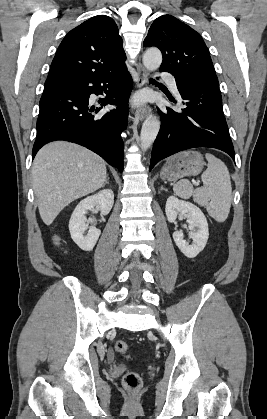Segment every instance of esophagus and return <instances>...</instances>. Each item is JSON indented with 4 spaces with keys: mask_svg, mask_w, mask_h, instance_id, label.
<instances>
[{
    "mask_svg": "<svg viewBox=\"0 0 267 419\" xmlns=\"http://www.w3.org/2000/svg\"><path fill=\"white\" fill-rule=\"evenodd\" d=\"M137 75H138L137 86L139 88L143 87L147 83L149 73L140 62L137 64ZM150 111H151V108L149 106L145 105V106L137 109L136 115L140 120H143L145 117L148 116Z\"/></svg>",
    "mask_w": 267,
    "mask_h": 419,
    "instance_id": "1",
    "label": "esophagus"
}]
</instances>
